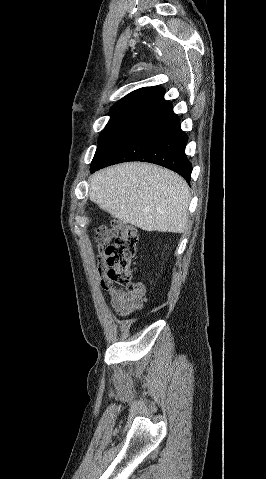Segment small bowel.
<instances>
[{"instance_id":"obj_1","label":"small bowel","mask_w":266,"mask_h":479,"mask_svg":"<svg viewBox=\"0 0 266 479\" xmlns=\"http://www.w3.org/2000/svg\"><path fill=\"white\" fill-rule=\"evenodd\" d=\"M103 260L100 258V270L103 271ZM102 285L108 290L109 301L113 311L119 316H129L139 311L144 304L145 285L134 282L128 289L117 290L108 279L102 277Z\"/></svg>"}]
</instances>
